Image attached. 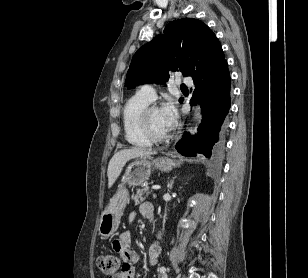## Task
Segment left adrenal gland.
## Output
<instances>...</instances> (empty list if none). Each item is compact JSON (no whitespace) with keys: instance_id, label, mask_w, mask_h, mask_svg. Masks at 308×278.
Returning <instances> with one entry per match:
<instances>
[{"instance_id":"obj_1","label":"left adrenal gland","mask_w":308,"mask_h":278,"mask_svg":"<svg viewBox=\"0 0 308 278\" xmlns=\"http://www.w3.org/2000/svg\"><path fill=\"white\" fill-rule=\"evenodd\" d=\"M173 187V180L170 181V183L168 184V189H172Z\"/></svg>"}]
</instances>
